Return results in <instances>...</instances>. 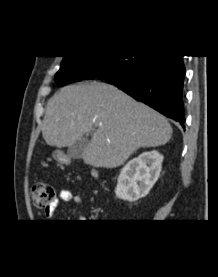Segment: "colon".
Masks as SVG:
<instances>
[{"label":"colon","mask_w":218,"mask_h":277,"mask_svg":"<svg viewBox=\"0 0 218 277\" xmlns=\"http://www.w3.org/2000/svg\"><path fill=\"white\" fill-rule=\"evenodd\" d=\"M31 196L34 205L40 209L48 207L56 197L53 186L44 182H37L32 185Z\"/></svg>","instance_id":"5ec220e1"}]
</instances>
